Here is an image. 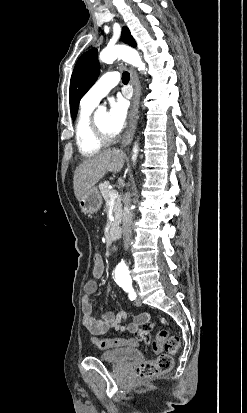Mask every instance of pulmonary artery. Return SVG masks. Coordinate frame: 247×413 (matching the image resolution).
<instances>
[{"label": "pulmonary artery", "mask_w": 247, "mask_h": 413, "mask_svg": "<svg viewBox=\"0 0 247 413\" xmlns=\"http://www.w3.org/2000/svg\"><path fill=\"white\" fill-rule=\"evenodd\" d=\"M119 81L118 72H107L101 75L84 94L82 101L85 106L93 107L115 86Z\"/></svg>", "instance_id": "1"}]
</instances>
